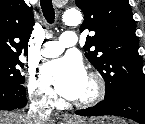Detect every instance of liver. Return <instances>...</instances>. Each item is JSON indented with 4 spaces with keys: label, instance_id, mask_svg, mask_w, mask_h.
<instances>
[{
    "label": "liver",
    "instance_id": "obj_1",
    "mask_svg": "<svg viewBox=\"0 0 145 124\" xmlns=\"http://www.w3.org/2000/svg\"><path fill=\"white\" fill-rule=\"evenodd\" d=\"M0 124H27L26 117L14 112H0Z\"/></svg>",
    "mask_w": 145,
    "mask_h": 124
}]
</instances>
